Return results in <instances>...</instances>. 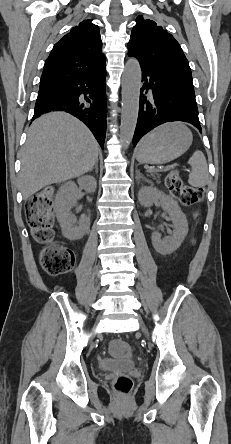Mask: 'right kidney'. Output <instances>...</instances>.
Listing matches in <instances>:
<instances>
[{
  "mask_svg": "<svg viewBox=\"0 0 231 444\" xmlns=\"http://www.w3.org/2000/svg\"><path fill=\"white\" fill-rule=\"evenodd\" d=\"M78 185L88 193L96 190V180L92 176H83L78 179ZM79 189L74 182L62 185L55 198V212L60 223L62 234L69 240L82 238L90 228V218L83 216L77 220L71 209L76 206Z\"/></svg>",
  "mask_w": 231,
  "mask_h": 444,
  "instance_id": "ca27d5eb",
  "label": "right kidney"
}]
</instances>
